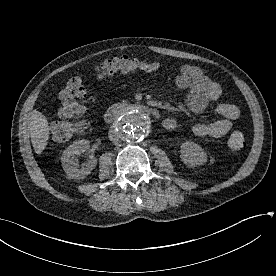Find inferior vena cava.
I'll list each match as a JSON object with an SVG mask.
<instances>
[{
	"instance_id": "1",
	"label": "inferior vena cava",
	"mask_w": 276,
	"mask_h": 276,
	"mask_svg": "<svg viewBox=\"0 0 276 276\" xmlns=\"http://www.w3.org/2000/svg\"><path fill=\"white\" fill-rule=\"evenodd\" d=\"M108 134H109V139H110L112 142L116 143V142L119 141V139H120V134H119V132L116 131L114 128L110 129Z\"/></svg>"
}]
</instances>
